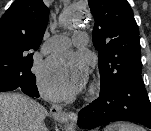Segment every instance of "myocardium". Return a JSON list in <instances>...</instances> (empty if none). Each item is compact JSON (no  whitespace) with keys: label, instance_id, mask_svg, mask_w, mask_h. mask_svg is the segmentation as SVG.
<instances>
[{"label":"myocardium","instance_id":"myocardium-1","mask_svg":"<svg viewBox=\"0 0 151 131\" xmlns=\"http://www.w3.org/2000/svg\"><path fill=\"white\" fill-rule=\"evenodd\" d=\"M94 89H95V87L93 86L92 89H91V91H93Z\"/></svg>","mask_w":151,"mask_h":131}]
</instances>
